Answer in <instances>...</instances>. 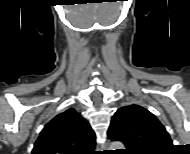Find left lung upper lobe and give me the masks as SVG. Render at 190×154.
Segmentation results:
<instances>
[{"label":"left lung upper lobe","instance_id":"5c2ea615","mask_svg":"<svg viewBox=\"0 0 190 154\" xmlns=\"http://www.w3.org/2000/svg\"><path fill=\"white\" fill-rule=\"evenodd\" d=\"M108 136L123 142L129 154H159L173 147L168 132L156 116L135 104L116 111Z\"/></svg>","mask_w":190,"mask_h":154}]
</instances>
